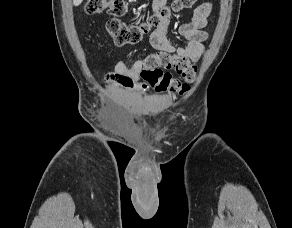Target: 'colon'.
Listing matches in <instances>:
<instances>
[{
    "mask_svg": "<svg viewBox=\"0 0 292 228\" xmlns=\"http://www.w3.org/2000/svg\"><path fill=\"white\" fill-rule=\"evenodd\" d=\"M197 0H172L164 5L158 13H153L144 21L134 24L121 22L117 17L125 14L126 0H88L85 11L88 14H100L107 12L113 16L106 25L107 31L118 46L135 45L139 43L152 27L160 24L163 18H168L172 11H180L192 7ZM161 68L174 69L182 77V81L163 73ZM196 77V69L193 65L186 64L183 60L171 55L153 54L145 59V66L141 71L142 81L136 83L132 78L119 74H108L106 79L113 80L124 87L138 86L140 90L156 88L158 90H170L180 94L189 90L190 84Z\"/></svg>",
    "mask_w": 292,
    "mask_h": 228,
    "instance_id": "5ec220e1",
    "label": "colon"
}]
</instances>
